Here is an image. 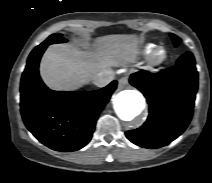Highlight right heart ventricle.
Returning a JSON list of instances; mask_svg holds the SVG:
<instances>
[{
  "label": "right heart ventricle",
  "mask_w": 212,
  "mask_h": 183,
  "mask_svg": "<svg viewBox=\"0 0 212 183\" xmlns=\"http://www.w3.org/2000/svg\"><path fill=\"white\" fill-rule=\"evenodd\" d=\"M155 47L156 45L153 43L146 44L143 48V53L149 55Z\"/></svg>",
  "instance_id": "obj_1"
}]
</instances>
